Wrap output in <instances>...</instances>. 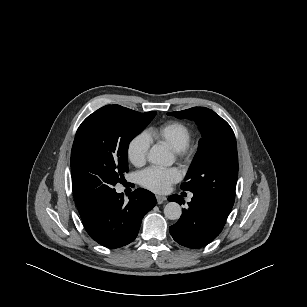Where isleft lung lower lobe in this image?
I'll use <instances>...</instances> for the list:
<instances>
[{
  "mask_svg": "<svg viewBox=\"0 0 307 307\" xmlns=\"http://www.w3.org/2000/svg\"><path fill=\"white\" fill-rule=\"evenodd\" d=\"M169 201L183 203V198L177 194L171 195ZM188 209L178 222L170 226L173 239L182 246L199 248L214 240L222 231L229 212L202 195L194 194Z\"/></svg>",
  "mask_w": 307,
  "mask_h": 307,
  "instance_id": "obj_1",
  "label": "left lung lower lobe"
}]
</instances>
